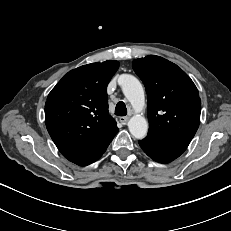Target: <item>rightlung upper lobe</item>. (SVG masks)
Wrapping results in <instances>:
<instances>
[{"mask_svg": "<svg viewBox=\"0 0 231 231\" xmlns=\"http://www.w3.org/2000/svg\"><path fill=\"white\" fill-rule=\"evenodd\" d=\"M118 67L113 60L78 67L47 97V130L63 156L77 165L98 160L119 130L108 113L107 97V84Z\"/></svg>", "mask_w": 231, "mask_h": 231, "instance_id": "right-lung-upper-lobe-1", "label": "right lung upper lobe"}]
</instances>
